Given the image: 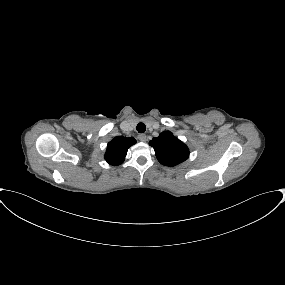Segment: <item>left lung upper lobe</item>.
<instances>
[{
	"label": "left lung upper lobe",
	"instance_id": "obj_1",
	"mask_svg": "<svg viewBox=\"0 0 285 285\" xmlns=\"http://www.w3.org/2000/svg\"><path fill=\"white\" fill-rule=\"evenodd\" d=\"M149 144L154 148L158 161L165 166H176L189 157L187 146L170 131L162 132Z\"/></svg>",
	"mask_w": 285,
	"mask_h": 285
}]
</instances>
